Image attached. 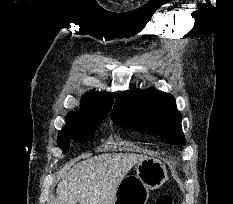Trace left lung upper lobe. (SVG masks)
Returning <instances> with one entry per match:
<instances>
[{
	"label": "left lung upper lobe",
	"mask_w": 233,
	"mask_h": 204,
	"mask_svg": "<svg viewBox=\"0 0 233 204\" xmlns=\"http://www.w3.org/2000/svg\"><path fill=\"white\" fill-rule=\"evenodd\" d=\"M111 118L124 129L147 131L179 145L185 143L182 116L174 97L154 87L121 93Z\"/></svg>",
	"instance_id": "5c2ea615"
}]
</instances>
